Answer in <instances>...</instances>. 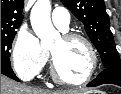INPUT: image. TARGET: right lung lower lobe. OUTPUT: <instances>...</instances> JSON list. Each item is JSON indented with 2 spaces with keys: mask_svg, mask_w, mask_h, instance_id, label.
<instances>
[{
  "mask_svg": "<svg viewBox=\"0 0 121 94\" xmlns=\"http://www.w3.org/2000/svg\"><path fill=\"white\" fill-rule=\"evenodd\" d=\"M1 74L6 75L7 77L19 81V79L14 74L13 70L10 67H3L1 66Z\"/></svg>",
  "mask_w": 121,
  "mask_h": 94,
  "instance_id": "98d812e1",
  "label": "right lung lower lobe"
}]
</instances>
